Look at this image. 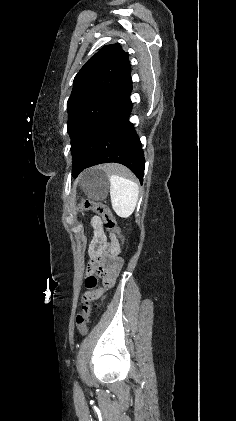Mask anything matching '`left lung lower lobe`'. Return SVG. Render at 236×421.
<instances>
[{"label":"left lung lower lobe","mask_w":236,"mask_h":421,"mask_svg":"<svg viewBox=\"0 0 236 421\" xmlns=\"http://www.w3.org/2000/svg\"><path fill=\"white\" fill-rule=\"evenodd\" d=\"M131 91L130 78L123 93L100 116L89 133L78 160L72 166L73 177L85 168L116 162L128 167L142 183L145 159L140 139L129 121Z\"/></svg>","instance_id":"left-lung-lower-lobe-1"}]
</instances>
